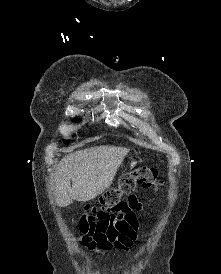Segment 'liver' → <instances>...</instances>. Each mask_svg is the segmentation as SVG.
<instances>
[{"mask_svg": "<svg viewBox=\"0 0 221 274\" xmlns=\"http://www.w3.org/2000/svg\"><path fill=\"white\" fill-rule=\"evenodd\" d=\"M128 152L129 149L122 147L97 146L65 156L53 177L57 204L66 207L102 194L112 184Z\"/></svg>", "mask_w": 221, "mask_h": 274, "instance_id": "1", "label": "liver"}]
</instances>
